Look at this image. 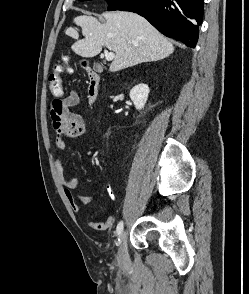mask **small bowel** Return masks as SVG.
Returning a JSON list of instances; mask_svg holds the SVG:
<instances>
[{
	"label": "small bowel",
	"mask_w": 249,
	"mask_h": 294,
	"mask_svg": "<svg viewBox=\"0 0 249 294\" xmlns=\"http://www.w3.org/2000/svg\"><path fill=\"white\" fill-rule=\"evenodd\" d=\"M79 102V93L76 90H71L64 98L53 100L50 107L51 118L55 126V169L65 197L74 212H79L80 206L89 203L95 195L109 191V187H107L103 190H97L90 195H78L74 192L78 186V180L65 174L62 164L65 140L80 137L87 132V125L82 116L70 111ZM113 220L112 216H108L103 221H89L88 226L91 229L103 231L111 227Z\"/></svg>",
	"instance_id": "small-bowel-1"
}]
</instances>
